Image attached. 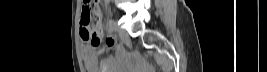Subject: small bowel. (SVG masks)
<instances>
[{
	"mask_svg": "<svg viewBox=\"0 0 267 72\" xmlns=\"http://www.w3.org/2000/svg\"><path fill=\"white\" fill-rule=\"evenodd\" d=\"M114 42V37L109 36L106 39V48L112 47ZM83 59L88 72H115L114 60L107 58L99 64L94 49L88 44L83 49Z\"/></svg>",
	"mask_w": 267,
	"mask_h": 72,
	"instance_id": "obj_1",
	"label": "small bowel"
}]
</instances>
